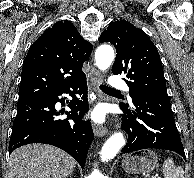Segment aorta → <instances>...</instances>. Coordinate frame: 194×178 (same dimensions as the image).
<instances>
[{"mask_svg":"<svg viewBox=\"0 0 194 178\" xmlns=\"http://www.w3.org/2000/svg\"><path fill=\"white\" fill-rule=\"evenodd\" d=\"M114 50L110 45L104 44L97 48L95 52V62L101 71L107 70L114 60ZM125 144L123 133L116 132L109 137L101 150V160L108 161L116 156L122 146Z\"/></svg>","mask_w":194,"mask_h":178,"instance_id":"1","label":"aorta"}]
</instances>
